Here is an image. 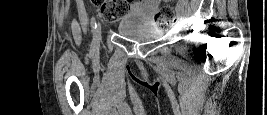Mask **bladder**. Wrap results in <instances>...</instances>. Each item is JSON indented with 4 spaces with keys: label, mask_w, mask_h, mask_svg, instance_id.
<instances>
[{
    "label": "bladder",
    "mask_w": 267,
    "mask_h": 115,
    "mask_svg": "<svg viewBox=\"0 0 267 115\" xmlns=\"http://www.w3.org/2000/svg\"><path fill=\"white\" fill-rule=\"evenodd\" d=\"M117 31L122 37L135 41L154 40L163 35V30L153 24L123 23Z\"/></svg>",
    "instance_id": "bladder-1"
}]
</instances>
